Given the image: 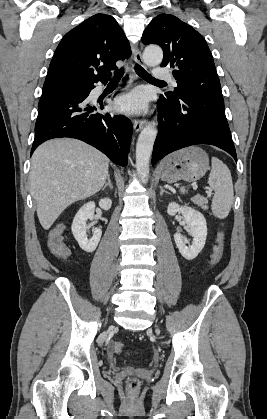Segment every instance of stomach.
Wrapping results in <instances>:
<instances>
[{
    "mask_svg": "<svg viewBox=\"0 0 267 419\" xmlns=\"http://www.w3.org/2000/svg\"><path fill=\"white\" fill-rule=\"evenodd\" d=\"M209 169L208 154L200 147L184 148L166 157L160 164V178L167 183L194 182Z\"/></svg>",
    "mask_w": 267,
    "mask_h": 419,
    "instance_id": "0dacf381",
    "label": "stomach"
}]
</instances>
